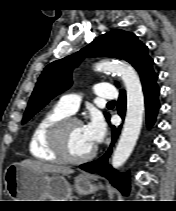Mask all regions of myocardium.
<instances>
[{
	"mask_svg": "<svg viewBox=\"0 0 176 211\" xmlns=\"http://www.w3.org/2000/svg\"><path fill=\"white\" fill-rule=\"evenodd\" d=\"M81 124V120L74 116H66L56 121L50 128L48 133V142L51 150L57 155L60 161L81 164L93 158L97 152V148L94 146L88 153L82 156H72L66 148L65 132L71 124Z\"/></svg>",
	"mask_w": 176,
	"mask_h": 211,
	"instance_id": "myocardium-1",
	"label": "myocardium"
}]
</instances>
